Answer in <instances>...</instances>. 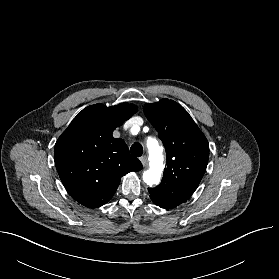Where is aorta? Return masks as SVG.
<instances>
[{"instance_id": "obj_1", "label": "aorta", "mask_w": 279, "mask_h": 279, "mask_svg": "<svg viewBox=\"0 0 279 279\" xmlns=\"http://www.w3.org/2000/svg\"><path fill=\"white\" fill-rule=\"evenodd\" d=\"M147 145L151 155V162L150 168L143 173V181L152 186L160 182L163 171L162 148L153 139L148 140Z\"/></svg>"}]
</instances>
